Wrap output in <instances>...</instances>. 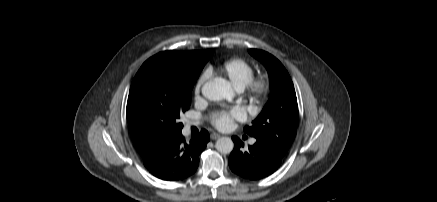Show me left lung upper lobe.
<instances>
[{"label":"left lung upper lobe","instance_id":"1","mask_svg":"<svg viewBox=\"0 0 437 202\" xmlns=\"http://www.w3.org/2000/svg\"><path fill=\"white\" fill-rule=\"evenodd\" d=\"M249 53L266 67L271 96L244 132L284 156L297 131L298 104L293 82L285 67L271 54L257 49H250Z\"/></svg>","mask_w":437,"mask_h":202}]
</instances>
